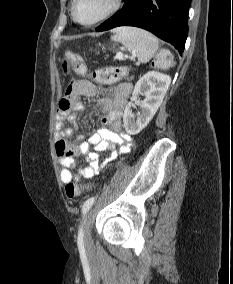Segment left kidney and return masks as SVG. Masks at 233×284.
<instances>
[{
	"label": "left kidney",
	"mask_w": 233,
	"mask_h": 284,
	"mask_svg": "<svg viewBox=\"0 0 233 284\" xmlns=\"http://www.w3.org/2000/svg\"><path fill=\"white\" fill-rule=\"evenodd\" d=\"M171 78L157 71H149L143 75L135 85L132 100L140 106V111L132 114L133 103H128L123 114L126 132L130 135L138 134L151 121L169 88ZM144 95V100L139 96Z\"/></svg>",
	"instance_id": "obj_1"
}]
</instances>
